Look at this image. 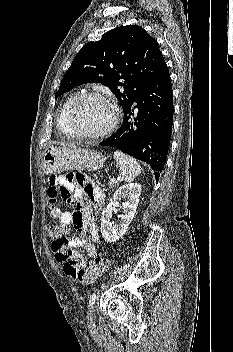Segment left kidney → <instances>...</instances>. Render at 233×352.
<instances>
[{
  "mask_svg": "<svg viewBox=\"0 0 233 352\" xmlns=\"http://www.w3.org/2000/svg\"><path fill=\"white\" fill-rule=\"evenodd\" d=\"M141 193V185L138 183H130L119 187L110 200L106 209L102 212L101 233L104 240L108 243L117 241L122 237L131 223L139 202ZM122 198H127V201L122 203L123 214H121L120 222L112 225L110 220L115 207L120 206L119 202Z\"/></svg>",
  "mask_w": 233,
  "mask_h": 352,
  "instance_id": "1",
  "label": "left kidney"
}]
</instances>
